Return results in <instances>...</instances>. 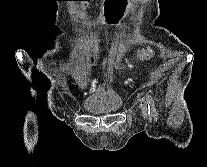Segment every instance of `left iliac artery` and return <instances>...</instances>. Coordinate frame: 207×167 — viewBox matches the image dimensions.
I'll return each instance as SVG.
<instances>
[{
	"instance_id": "1",
	"label": "left iliac artery",
	"mask_w": 207,
	"mask_h": 167,
	"mask_svg": "<svg viewBox=\"0 0 207 167\" xmlns=\"http://www.w3.org/2000/svg\"><path fill=\"white\" fill-rule=\"evenodd\" d=\"M147 103H148V114L154 117V119L158 120V113L156 111L155 103L153 98L150 95H146Z\"/></svg>"
}]
</instances>
